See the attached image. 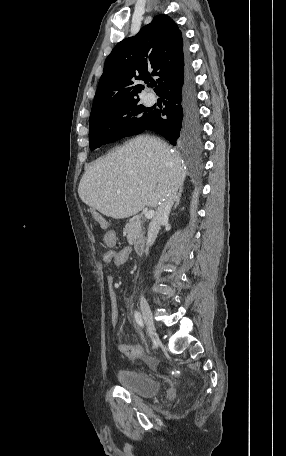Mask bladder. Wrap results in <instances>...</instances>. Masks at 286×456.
<instances>
[{
    "mask_svg": "<svg viewBox=\"0 0 286 456\" xmlns=\"http://www.w3.org/2000/svg\"><path fill=\"white\" fill-rule=\"evenodd\" d=\"M119 386L141 397H151L161 390L160 383L147 373L121 369L117 374Z\"/></svg>",
    "mask_w": 286,
    "mask_h": 456,
    "instance_id": "1",
    "label": "bladder"
}]
</instances>
